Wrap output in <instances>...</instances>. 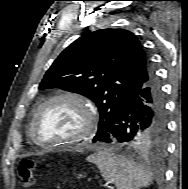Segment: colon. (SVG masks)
Masks as SVG:
<instances>
[{"label": "colon", "mask_w": 188, "mask_h": 189, "mask_svg": "<svg viewBox=\"0 0 188 189\" xmlns=\"http://www.w3.org/2000/svg\"><path fill=\"white\" fill-rule=\"evenodd\" d=\"M36 164L33 160L24 159L18 166L19 181L23 189H30L34 184Z\"/></svg>", "instance_id": "obj_1"}]
</instances>
